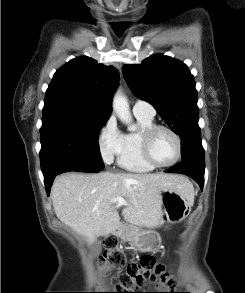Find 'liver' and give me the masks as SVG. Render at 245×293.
Wrapping results in <instances>:
<instances>
[{
    "mask_svg": "<svg viewBox=\"0 0 245 293\" xmlns=\"http://www.w3.org/2000/svg\"><path fill=\"white\" fill-rule=\"evenodd\" d=\"M176 189L194 199L192 188L183 176L155 174L67 173L58 176L51 189L53 208L58 219L84 236L91 244L120 227L117 206L112 199L126 202L122 214L133 224L157 228L162 224L161 191Z\"/></svg>",
    "mask_w": 245,
    "mask_h": 293,
    "instance_id": "obj_1",
    "label": "liver"
}]
</instances>
